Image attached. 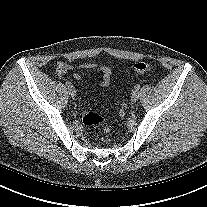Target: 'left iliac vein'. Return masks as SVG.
Instances as JSON below:
<instances>
[{"label": "left iliac vein", "instance_id": "obj_1", "mask_svg": "<svg viewBox=\"0 0 207 207\" xmlns=\"http://www.w3.org/2000/svg\"><path fill=\"white\" fill-rule=\"evenodd\" d=\"M139 99V92L137 90H134L132 93H131V101L132 102H137Z\"/></svg>", "mask_w": 207, "mask_h": 207}]
</instances>
